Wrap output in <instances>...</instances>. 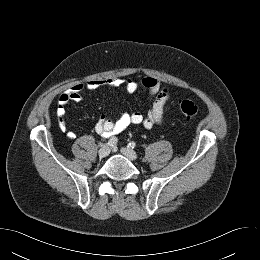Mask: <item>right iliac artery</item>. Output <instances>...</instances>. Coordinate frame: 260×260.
<instances>
[{
	"mask_svg": "<svg viewBox=\"0 0 260 260\" xmlns=\"http://www.w3.org/2000/svg\"><path fill=\"white\" fill-rule=\"evenodd\" d=\"M107 137V136H106ZM109 137V136H108ZM116 143H117V138L116 137H112L109 141H108V143H106V144H103V143H98L99 144V146H103V147H105V146H114V145H116Z\"/></svg>",
	"mask_w": 260,
	"mask_h": 260,
	"instance_id": "right-iliac-artery-1",
	"label": "right iliac artery"
}]
</instances>
